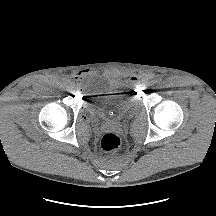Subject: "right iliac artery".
Listing matches in <instances>:
<instances>
[{
    "label": "right iliac artery",
    "mask_w": 216,
    "mask_h": 216,
    "mask_svg": "<svg viewBox=\"0 0 216 216\" xmlns=\"http://www.w3.org/2000/svg\"><path fill=\"white\" fill-rule=\"evenodd\" d=\"M68 85H69V86H68V89H69V90H72L73 87H74V82H69Z\"/></svg>",
    "instance_id": "1"
}]
</instances>
